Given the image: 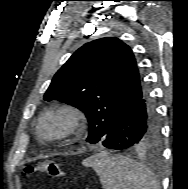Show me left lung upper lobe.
<instances>
[{
	"label": "left lung upper lobe",
	"instance_id": "left-lung-upper-lobe-1",
	"mask_svg": "<svg viewBox=\"0 0 188 189\" xmlns=\"http://www.w3.org/2000/svg\"><path fill=\"white\" fill-rule=\"evenodd\" d=\"M144 91L130 47L107 37L79 48L54 75L44 99L82 110L89 122L87 142L98 143ZM157 142L158 138L136 149H148Z\"/></svg>",
	"mask_w": 188,
	"mask_h": 189
}]
</instances>
